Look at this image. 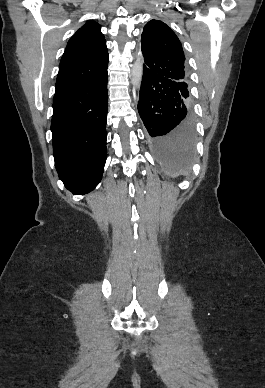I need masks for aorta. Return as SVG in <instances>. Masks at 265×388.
I'll return each mask as SVG.
<instances>
[{
  "instance_id": "obj_1",
  "label": "aorta",
  "mask_w": 265,
  "mask_h": 388,
  "mask_svg": "<svg viewBox=\"0 0 265 388\" xmlns=\"http://www.w3.org/2000/svg\"><path fill=\"white\" fill-rule=\"evenodd\" d=\"M143 75V62L141 60H137L132 66L131 73V82L136 87L139 88Z\"/></svg>"
}]
</instances>
